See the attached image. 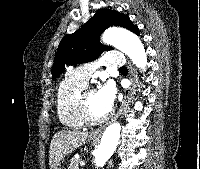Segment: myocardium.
<instances>
[{
	"label": "myocardium",
	"mask_w": 200,
	"mask_h": 169,
	"mask_svg": "<svg viewBox=\"0 0 200 169\" xmlns=\"http://www.w3.org/2000/svg\"><path fill=\"white\" fill-rule=\"evenodd\" d=\"M93 91H95L94 88H86L81 93L80 97L78 98L82 120H83L84 124L89 125V126H95V125L102 124L111 116V111L108 112L105 116H103L101 118H94L92 116V114L89 110V107L87 105L86 95Z\"/></svg>",
	"instance_id": "myocardium-1"
}]
</instances>
